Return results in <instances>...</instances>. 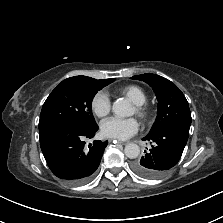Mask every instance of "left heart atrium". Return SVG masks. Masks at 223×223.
Listing matches in <instances>:
<instances>
[{
  "instance_id": "1",
  "label": "left heart atrium",
  "mask_w": 223,
  "mask_h": 223,
  "mask_svg": "<svg viewBox=\"0 0 223 223\" xmlns=\"http://www.w3.org/2000/svg\"><path fill=\"white\" fill-rule=\"evenodd\" d=\"M139 129V123L135 118H109L101 124V131L106 137L126 140Z\"/></svg>"
}]
</instances>
